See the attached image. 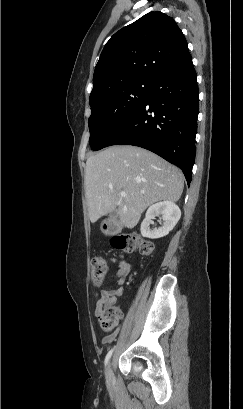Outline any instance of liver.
I'll use <instances>...</instances> for the list:
<instances>
[{
    "instance_id": "obj_1",
    "label": "liver",
    "mask_w": 243,
    "mask_h": 409,
    "mask_svg": "<svg viewBox=\"0 0 243 409\" xmlns=\"http://www.w3.org/2000/svg\"><path fill=\"white\" fill-rule=\"evenodd\" d=\"M183 188L178 167L139 147L111 146L86 161L85 195L92 223L116 210L120 223L132 229L148 206L177 202Z\"/></svg>"
}]
</instances>
